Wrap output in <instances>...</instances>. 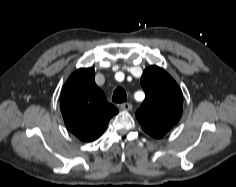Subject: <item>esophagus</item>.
Here are the masks:
<instances>
[{
    "label": "esophagus",
    "instance_id": "esophagus-1",
    "mask_svg": "<svg viewBox=\"0 0 236 187\" xmlns=\"http://www.w3.org/2000/svg\"><path fill=\"white\" fill-rule=\"evenodd\" d=\"M120 108L125 111H130L132 110L133 106L130 103H122Z\"/></svg>",
    "mask_w": 236,
    "mask_h": 187
}]
</instances>
